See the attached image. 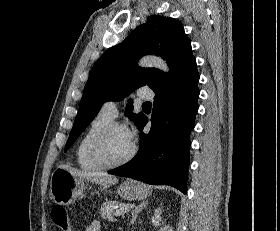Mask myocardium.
I'll use <instances>...</instances> for the list:
<instances>
[{"label": "myocardium", "instance_id": "myocardium-1", "mask_svg": "<svg viewBox=\"0 0 280 231\" xmlns=\"http://www.w3.org/2000/svg\"><path fill=\"white\" fill-rule=\"evenodd\" d=\"M115 128L125 129V126L116 121L108 123L94 136L89 146L88 153L90 160L102 168H115L123 166L131 161L135 154V147L131 145L129 152L120 160L108 161L101 155V147L105 138Z\"/></svg>", "mask_w": 280, "mask_h": 231}]
</instances>
